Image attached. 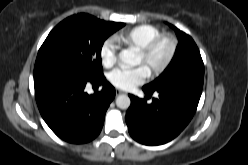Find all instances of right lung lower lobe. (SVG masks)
<instances>
[{
  "label": "right lung lower lobe",
  "instance_id": "98d812e1",
  "mask_svg": "<svg viewBox=\"0 0 248 165\" xmlns=\"http://www.w3.org/2000/svg\"><path fill=\"white\" fill-rule=\"evenodd\" d=\"M88 82L103 87L88 95L84 92ZM34 87L44 121L58 137L76 144L89 142L99 135L106 111L115 97L114 87L104 76L89 80L65 69L34 77Z\"/></svg>",
  "mask_w": 248,
  "mask_h": 165
}]
</instances>
